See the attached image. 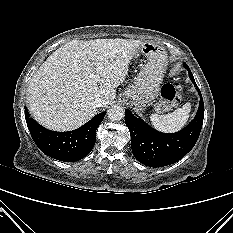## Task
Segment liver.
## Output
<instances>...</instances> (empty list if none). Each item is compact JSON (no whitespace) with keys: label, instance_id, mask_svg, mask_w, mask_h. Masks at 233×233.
<instances>
[{"label":"liver","instance_id":"6515ba94","mask_svg":"<svg viewBox=\"0 0 233 233\" xmlns=\"http://www.w3.org/2000/svg\"><path fill=\"white\" fill-rule=\"evenodd\" d=\"M142 41L131 39L72 40L53 52L32 77L27 91L35 120L54 131L74 130L115 98Z\"/></svg>","mask_w":233,"mask_h":233}]
</instances>
